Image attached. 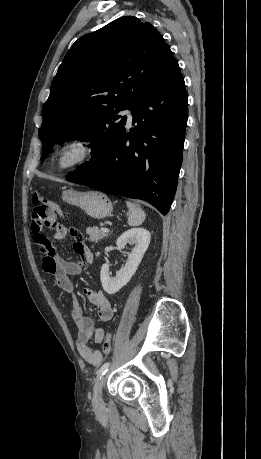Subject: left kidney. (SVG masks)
Listing matches in <instances>:
<instances>
[{
  "label": "left kidney",
  "instance_id": "obj_1",
  "mask_svg": "<svg viewBox=\"0 0 261 459\" xmlns=\"http://www.w3.org/2000/svg\"><path fill=\"white\" fill-rule=\"evenodd\" d=\"M117 246L123 249L127 244L133 246L128 254V260L115 277L110 276L109 265L101 267L100 280L102 287L108 294H115L124 287L135 274L143 256L150 244V233L144 228H132L124 232L116 242Z\"/></svg>",
  "mask_w": 261,
  "mask_h": 459
}]
</instances>
